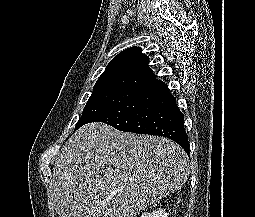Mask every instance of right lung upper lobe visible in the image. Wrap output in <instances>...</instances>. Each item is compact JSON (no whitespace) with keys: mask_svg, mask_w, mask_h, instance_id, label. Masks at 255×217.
<instances>
[{"mask_svg":"<svg viewBox=\"0 0 255 217\" xmlns=\"http://www.w3.org/2000/svg\"><path fill=\"white\" fill-rule=\"evenodd\" d=\"M148 63L149 58L140 47L128 48L110 61L94 89L122 85L148 87L157 80Z\"/></svg>","mask_w":255,"mask_h":217,"instance_id":"right-lung-upper-lobe-1","label":"right lung upper lobe"}]
</instances>
